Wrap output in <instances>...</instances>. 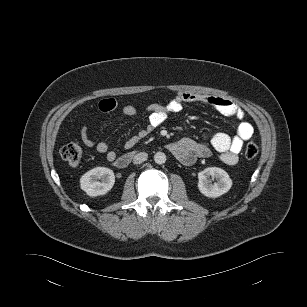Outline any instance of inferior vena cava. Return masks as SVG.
Masks as SVG:
<instances>
[{
  "label": "inferior vena cava",
  "instance_id": "602c4592",
  "mask_svg": "<svg viewBox=\"0 0 307 307\" xmlns=\"http://www.w3.org/2000/svg\"><path fill=\"white\" fill-rule=\"evenodd\" d=\"M147 158H148V154L146 152H140L134 156L133 163L141 164L142 162L146 161Z\"/></svg>",
  "mask_w": 307,
  "mask_h": 307
}]
</instances>
